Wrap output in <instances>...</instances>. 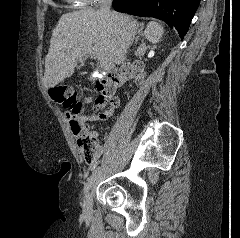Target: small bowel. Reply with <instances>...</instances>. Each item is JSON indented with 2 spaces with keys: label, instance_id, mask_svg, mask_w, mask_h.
Listing matches in <instances>:
<instances>
[{
  "label": "small bowel",
  "instance_id": "small-bowel-1",
  "mask_svg": "<svg viewBox=\"0 0 240 238\" xmlns=\"http://www.w3.org/2000/svg\"><path fill=\"white\" fill-rule=\"evenodd\" d=\"M91 102H92V98L91 97H86L83 100V103H85V104H89ZM118 106H119V100L117 98H115L113 103H112V105L107 107L103 112L96 113V114H89V115H80V116H77V118L83 124L104 121V120L110 118L115 113V111H116ZM66 117L68 119H71L72 118V114L70 112H67L66 113ZM94 135H95V137H97L96 133H94Z\"/></svg>",
  "mask_w": 240,
  "mask_h": 238
}]
</instances>
